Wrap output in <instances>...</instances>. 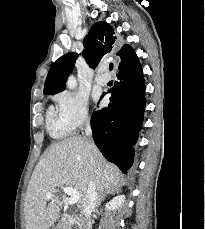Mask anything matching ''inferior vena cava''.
Masks as SVG:
<instances>
[{
  "label": "inferior vena cava",
  "instance_id": "obj_1",
  "mask_svg": "<svg viewBox=\"0 0 205 229\" xmlns=\"http://www.w3.org/2000/svg\"><path fill=\"white\" fill-rule=\"evenodd\" d=\"M85 134L86 136L89 137L92 135V130L89 121L87 122L86 125ZM97 198L98 195H97L96 186L94 181L91 179L88 184V188L81 206V213L84 215L83 224H82L83 229H89L90 214L95 209V206L97 204Z\"/></svg>",
  "mask_w": 205,
  "mask_h": 229
}]
</instances>
